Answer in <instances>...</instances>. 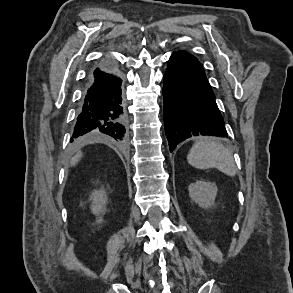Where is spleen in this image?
Returning a JSON list of instances; mask_svg holds the SVG:
<instances>
[{
  "label": "spleen",
  "mask_w": 293,
  "mask_h": 293,
  "mask_svg": "<svg viewBox=\"0 0 293 293\" xmlns=\"http://www.w3.org/2000/svg\"><path fill=\"white\" fill-rule=\"evenodd\" d=\"M187 160L195 168H217L228 176L236 175L232 153L223 144L210 138H202L195 142L187 155Z\"/></svg>",
  "instance_id": "spleen-1"
}]
</instances>
